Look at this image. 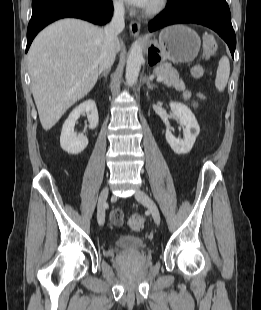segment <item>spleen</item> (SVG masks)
Returning a JSON list of instances; mask_svg holds the SVG:
<instances>
[{"label":"spleen","instance_id":"obj_1","mask_svg":"<svg viewBox=\"0 0 261 310\" xmlns=\"http://www.w3.org/2000/svg\"><path fill=\"white\" fill-rule=\"evenodd\" d=\"M230 75V63L229 59L226 56H223L219 61L216 78H215V86L218 91H224L228 79Z\"/></svg>","mask_w":261,"mask_h":310}]
</instances>
